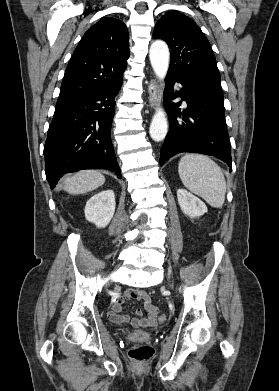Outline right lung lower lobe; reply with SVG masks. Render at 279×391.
Returning <instances> with one entry per match:
<instances>
[{"instance_id": "obj_1", "label": "right lung lower lobe", "mask_w": 279, "mask_h": 391, "mask_svg": "<svg viewBox=\"0 0 279 391\" xmlns=\"http://www.w3.org/2000/svg\"><path fill=\"white\" fill-rule=\"evenodd\" d=\"M122 82L57 101L44 146L51 189L64 174L81 169H109L121 178L110 131Z\"/></svg>"}]
</instances>
